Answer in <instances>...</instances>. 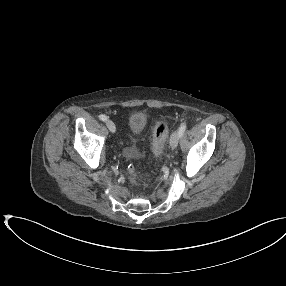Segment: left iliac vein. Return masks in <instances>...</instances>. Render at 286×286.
<instances>
[{"mask_svg":"<svg viewBox=\"0 0 286 286\" xmlns=\"http://www.w3.org/2000/svg\"><path fill=\"white\" fill-rule=\"evenodd\" d=\"M179 139H180L179 132L178 131L173 132L170 137V146L172 148H176L178 146Z\"/></svg>","mask_w":286,"mask_h":286,"instance_id":"1","label":"left iliac vein"}]
</instances>
